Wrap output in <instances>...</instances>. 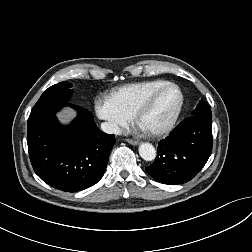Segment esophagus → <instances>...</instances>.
<instances>
[{
	"label": "esophagus",
	"instance_id": "1",
	"mask_svg": "<svg viewBox=\"0 0 252 252\" xmlns=\"http://www.w3.org/2000/svg\"><path fill=\"white\" fill-rule=\"evenodd\" d=\"M129 144L131 145H138L139 144V141L138 140H135V139H127L126 140Z\"/></svg>",
	"mask_w": 252,
	"mask_h": 252
}]
</instances>
